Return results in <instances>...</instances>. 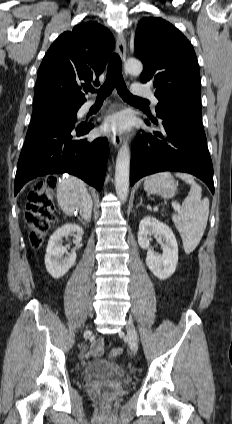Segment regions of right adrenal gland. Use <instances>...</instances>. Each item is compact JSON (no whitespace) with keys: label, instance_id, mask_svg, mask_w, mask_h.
<instances>
[{"label":"right adrenal gland","instance_id":"obj_1","mask_svg":"<svg viewBox=\"0 0 232 424\" xmlns=\"http://www.w3.org/2000/svg\"><path fill=\"white\" fill-rule=\"evenodd\" d=\"M78 219L83 225H86L87 223L90 222L91 216L89 217V219H85V220L81 219L80 217H78Z\"/></svg>","mask_w":232,"mask_h":424}]
</instances>
